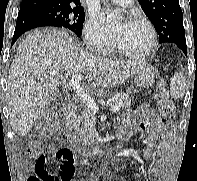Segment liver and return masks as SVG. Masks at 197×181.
Wrapping results in <instances>:
<instances>
[{"label": "liver", "instance_id": "liver-1", "mask_svg": "<svg viewBox=\"0 0 197 181\" xmlns=\"http://www.w3.org/2000/svg\"><path fill=\"white\" fill-rule=\"evenodd\" d=\"M144 63L103 59L74 45L63 30L42 29L29 34L17 48L8 75L10 124L25 136L53 99L61 84L58 71L86 74L92 87H112L135 75Z\"/></svg>", "mask_w": 197, "mask_h": 181}]
</instances>
